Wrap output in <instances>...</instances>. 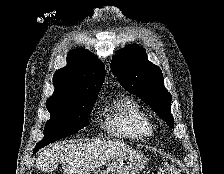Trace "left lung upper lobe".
<instances>
[{"label": "left lung upper lobe", "instance_id": "left-lung-upper-lobe-1", "mask_svg": "<svg viewBox=\"0 0 224 174\" xmlns=\"http://www.w3.org/2000/svg\"><path fill=\"white\" fill-rule=\"evenodd\" d=\"M111 69L124 89L140 97L171 128V94L164 87L160 68L147 59L145 49L127 46L113 56Z\"/></svg>", "mask_w": 224, "mask_h": 174}]
</instances>
